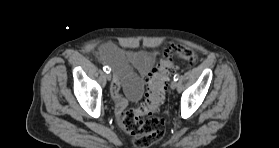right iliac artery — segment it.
<instances>
[{
  "label": "right iliac artery",
  "instance_id": "right-iliac-artery-1",
  "mask_svg": "<svg viewBox=\"0 0 279 148\" xmlns=\"http://www.w3.org/2000/svg\"><path fill=\"white\" fill-rule=\"evenodd\" d=\"M103 70H104V72H106V73H110V71H111V68L109 67V66H104L103 67Z\"/></svg>",
  "mask_w": 279,
  "mask_h": 148
}]
</instances>
